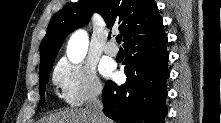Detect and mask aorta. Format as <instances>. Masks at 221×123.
<instances>
[{"label":"aorta","mask_w":221,"mask_h":123,"mask_svg":"<svg viewBox=\"0 0 221 123\" xmlns=\"http://www.w3.org/2000/svg\"><path fill=\"white\" fill-rule=\"evenodd\" d=\"M89 43L88 34L84 30H78L72 34L67 45V57L72 63L81 62L87 52Z\"/></svg>","instance_id":"aorta-1"}]
</instances>
